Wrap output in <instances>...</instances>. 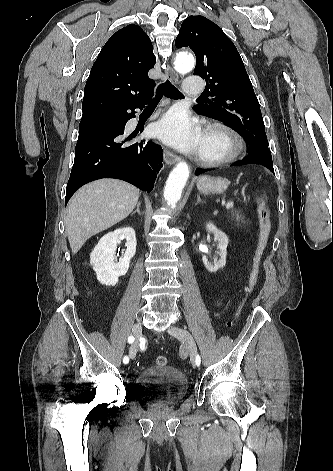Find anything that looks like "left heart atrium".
Masks as SVG:
<instances>
[{
    "instance_id": "obj_1",
    "label": "left heart atrium",
    "mask_w": 333,
    "mask_h": 471,
    "mask_svg": "<svg viewBox=\"0 0 333 471\" xmlns=\"http://www.w3.org/2000/svg\"><path fill=\"white\" fill-rule=\"evenodd\" d=\"M156 135L164 142L184 151L200 149L204 134L196 121L183 110H172L156 125Z\"/></svg>"
}]
</instances>
